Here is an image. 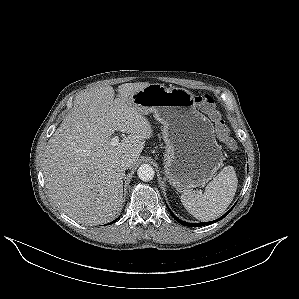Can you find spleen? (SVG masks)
I'll use <instances>...</instances> for the list:
<instances>
[{"mask_svg": "<svg viewBox=\"0 0 299 299\" xmlns=\"http://www.w3.org/2000/svg\"><path fill=\"white\" fill-rule=\"evenodd\" d=\"M237 185L234 168L226 166L206 186L204 193L184 190L180 199L193 217L201 221H210L225 212L233 201Z\"/></svg>", "mask_w": 299, "mask_h": 299, "instance_id": "obj_1", "label": "spleen"}]
</instances>
